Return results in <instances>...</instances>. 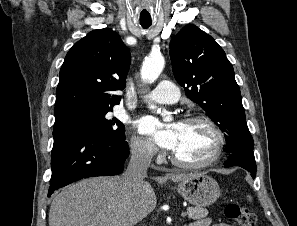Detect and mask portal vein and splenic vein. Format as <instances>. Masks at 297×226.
Masks as SVG:
<instances>
[{"instance_id": "portal-vein-and-splenic-vein-1", "label": "portal vein and splenic vein", "mask_w": 297, "mask_h": 226, "mask_svg": "<svg viewBox=\"0 0 297 226\" xmlns=\"http://www.w3.org/2000/svg\"><path fill=\"white\" fill-rule=\"evenodd\" d=\"M186 215H187V212H182L181 213V217H186Z\"/></svg>"}]
</instances>
